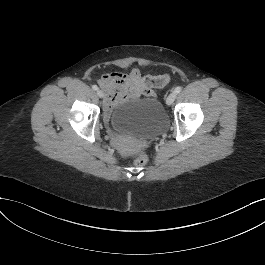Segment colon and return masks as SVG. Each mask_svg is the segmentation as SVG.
Listing matches in <instances>:
<instances>
[{"label":"colon","instance_id":"obj_1","mask_svg":"<svg viewBox=\"0 0 265 265\" xmlns=\"http://www.w3.org/2000/svg\"><path fill=\"white\" fill-rule=\"evenodd\" d=\"M148 162V155L146 153L140 154L134 161L137 167H142Z\"/></svg>","mask_w":265,"mask_h":265}]
</instances>
